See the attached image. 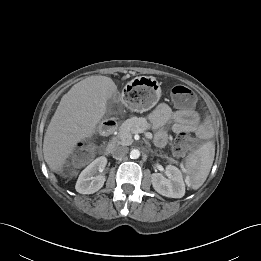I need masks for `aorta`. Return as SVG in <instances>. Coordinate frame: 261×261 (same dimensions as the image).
I'll use <instances>...</instances> for the list:
<instances>
[{"instance_id": "762f6f07", "label": "aorta", "mask_w": 261, "mask_h": 261, "mask_svg": "<svg viewBox=\"0 0 261 261\" xmlns=\"http://www.w3.org/2000/svg\"><path fill=\"white\" fill-rule=\"evenodd\" d=\"M139 156H140V151L139 150H137V149L131 150V152H130V158L131 159H138Z\"/></svg>"}]
</instances>
